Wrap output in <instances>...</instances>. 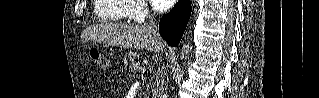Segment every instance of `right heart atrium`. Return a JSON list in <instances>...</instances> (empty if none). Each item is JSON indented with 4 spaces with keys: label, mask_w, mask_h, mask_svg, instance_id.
Wrapping results in <instances>:
<instances>
[{
    "label": "right heart atrium",
    "mask_w": 319,
    "mask_h": 98,
    "mask_svg": "<svg viewBox=\"0 0 319 98\" xmlns=\"http://www.w3.org/2000/svg\"><path fill=\"white\" fill-rule=\"evenodd\" d=\"M150 14V9L145 1L138 0L135 1L132 5L130 16L132 18H139L143 16H147Z\"/></svg>",
    "instance_id": "d8ad5b80"
}]
</instances>
